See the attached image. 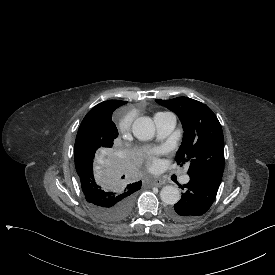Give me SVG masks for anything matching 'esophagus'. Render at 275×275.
I'll list each match as a JSON object with an SVG mask.
<instances>
[{"label":"esophagus","instance_id":"34e87169","mask_svg":"<svg viewBox=\"0 0 275 275\" xmlns=\"http://www.w3.org/2000/svg\"><path fill=\"white\" fill-rule=\"evenodd\" d=\"M153 185L156 186V187H160L163 185V181L161 179H154L153 181Z\"/></svg>","mask_w":275,"mask_h":275}]
</instances>
